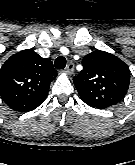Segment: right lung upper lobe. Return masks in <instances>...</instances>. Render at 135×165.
<instances>
[{"label": "right lung upper lobe", "instance_id": "obj_1", "mask_svg": "<svg viewBox=\"0 0 135 165\" xmlns=\"http://www.w3.org/2000/svg\"><path fill=\"white\" fill-rule=\"evenodd\" d=\"M57 76L49 59L32 49L12 55L0 69V94L13 110L28 112L46 99L49 85Z\"/></svg>", "mask_w": 135, "mask_h": 165}]
</instances>
